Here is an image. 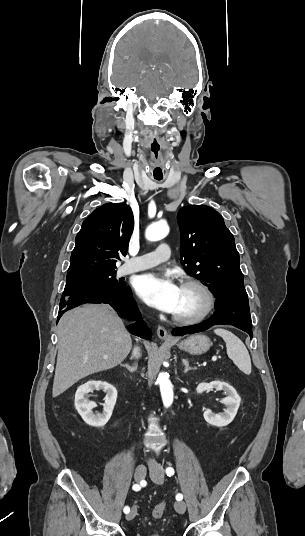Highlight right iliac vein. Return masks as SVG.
Segmentation results:
<instances>
[{
  "label": "right iliac vein",
  "instance_id": "1",
  "mask_svg": "<svg viewBox=\"0 0 305 536\" xmlns=\"http://www.w3.org/2000/svg\"><path fill=\"white\" fill-rule=\"evenodd\" d=\"M146 471H147V467L144 466V465H139L137 466L136 470H135V474H134V477H135V480L137 482L143 480L145 478V475H146ZM136 513H137V510H136V507L133 506L131 508V511L130 513L126 516V519L127 520H132L135 518L136 516Z\"/></svg>",
  "mask_w": 305,
  "mask_h": 536
}]
</instances>
